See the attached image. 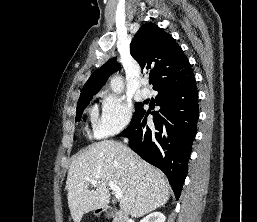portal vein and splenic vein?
<instances>
[{
    "mask_svg": "<svg viewBox=\"0 0 257 222\" xmlns=\"http://www.w3.org/2000/svg\"><path fill=\"white\" fill-rule=\"evenodd\" d=\"M98 183H99V180H97V179L91 180V184H92V185H96V184H98ZM107 184H108V186L114 191L115 197H116L117 199H121L122 196H123V193H122V191L120 190V188H119L113 181H108Z\"/></svg>",
    "mask_w": 257,
    "mask_h": 222,
    "instance_id": "18ae733b",
    "label": "portal vein and splenic vein"
}]
</instances>
